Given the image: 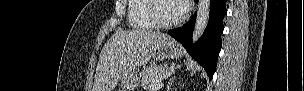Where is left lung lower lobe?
<instances>
[{
	"label": "left lung lower lobe",
	"instance_id": "left-lung-lower-lobe-1",
	"mask_svg": "<svg viewBox=\"0 0 304 91\" xmlns=\"http://www.w3.org/2000/svg\"><path fill=\"white\" fill-rule=\"evenodd\" d=\"M226 13V0H211L207 28L196 44L191 43L196 14L183 27L168 31V34L180 42L188 53L204 67L210 80L215 72L217 56L222 46L221 34Z\"/></svg>",
	"mask_w": 304,
	"mask_h": 91
}]
</instances>
